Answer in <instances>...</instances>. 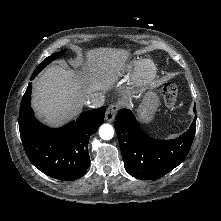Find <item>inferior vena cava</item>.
Returning a JSON list of instances; mask_svg holds the SVG:
<instances>
[{
	"label": "inferior vena cava",
	"mask_w": 221,
	"mask_h": 221,
	"mask_svg": "<svg viewBox=\"0 0 221 221\" xmlns=\"http://www.w3.org/2000/svg\"><path fill=\"white\" fill-rule=\"evenodd\" d=\"M104 97L103 96H92L88 99V101L86 102V104L91 107V108H98L101 107L104 104Z\"/></svg>",
	"instance_id": "obj_1"
}]
</instances>
